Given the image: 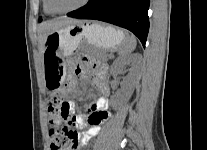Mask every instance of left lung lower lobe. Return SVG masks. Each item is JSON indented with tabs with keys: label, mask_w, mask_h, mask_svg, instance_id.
Segmentation results:
<instances>
[{
	"label": "left lung lower lobe",
	"mask_w": 207,
	"mask_h": 150,
	"mask_svg": "<svg viewBox=\"0 0 207 150\" xmlns=\"http://www.w3.org/2000/svg\"><path fill=\"white\" fill-rule=\"evenodd\" d=\"M150 0H90L85 6L68 14L79 19L108 22L133 32L145 47Z\"/></svg>",
	"instance_id": "1"
}]
</instances>
